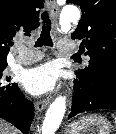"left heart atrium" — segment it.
<instances>
[{
    "label": "left heart atrium",
    "instance_id": "39dd6f15",
    "mask_svg": "<svg viewBox=\"0 0 116 134\" xmlns=\"http://www.w3.org/2000/svg\"><path fill=\"white\" fill-rule=\"evenodd\" d=\"M58 82V70L52 64H44L26 71L23 76L24 88L40 96L52 92Z\"/></svg>",
    "mask_w": 116,
    "mask_h": 134
}]
</instances>
